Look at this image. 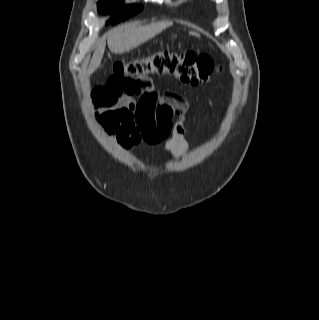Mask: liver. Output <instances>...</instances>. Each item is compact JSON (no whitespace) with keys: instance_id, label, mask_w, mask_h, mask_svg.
<instances>
[{"instance_id":"1","label":"liver","mask_w":319,"mask_h":320,"mask_svg":"<svg viewBox=\"0 0 319 320\" xmlns=\"http://www.w3.org/2000/svg\"><path fill=\"white\" fill-rule=\"evenodd\" d=\"M171 25L172 22H157L145 26H137L135 24L121 26L114 29L108 35V48L112 53L116 54L128 52L155 37ZM105 47V40H101L97 43L96 49L89 64L88 72L90 74L97 70L101 64Z\"/></svg>"}]
</instances>
